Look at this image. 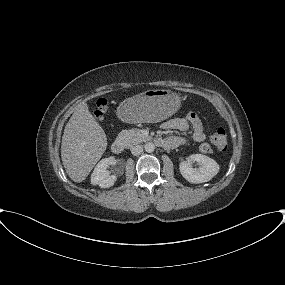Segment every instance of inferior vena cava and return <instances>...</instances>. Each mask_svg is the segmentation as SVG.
Here are the masks:
<instances>
[{"mask_svg":"<svg viewBox=\"0 0 285 285\" xmlns=\"http://www.w3.org/2000/svg\"><path fill=\"white\" fill-rule=\"evenodd\" d=\"M143 152V147L141 145H136L131 148V153L134 156L140 155Z\"/></svg>","mask_w":285,"mask_h":285,"instance_id":"obj_1","label":"inferior vena cava"}]
</instances>
